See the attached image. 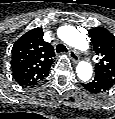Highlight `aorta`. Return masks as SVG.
<instances>
[{"mask_svg": "<svg viewBox=\"0 0 115 119\" xmlns=\"http://www.w3.org/2000/svg\"><path fill=\"white\" fill-rule=\"evenodd\" d=\"M58 37L67 45L81 51H87L89 48L86 37L72 26H63L58 30ZM76 73L82 81H88L93 73L91 63L81 61L76 67Z\"/></svg>", "mask_w": 115, "mask_h": 119, "instance_id": "762f6f07", "label": "aorta"}]
</instances>
